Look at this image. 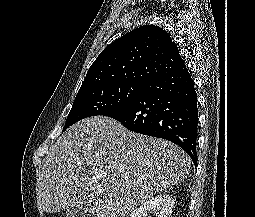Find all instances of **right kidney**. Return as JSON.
I'll list each match as a JSON object with an SVG mask.
<instances>
[{
	"mask_svg": "<svg viewBox=\"0 0 255 217\" xmlns=\"http://www.w3.org/2000/svg\"><path fill=\"white\" fill-rule=\"evenodd\" d=\"M174 199L168 194H159L144 202L135 209L130 217H147L148 213L154 212L158 217H169L174 207Z\"/></svg>",
	"mask_w": 255,
	"mask_h": 217,
	"instance_id": "obj_1",
	"label": "right kidney"
}]
</instances>
